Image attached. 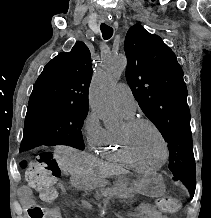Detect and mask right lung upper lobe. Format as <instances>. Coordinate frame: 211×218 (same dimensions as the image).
Wrapping results in <instances>:
<instances>
[{"instance_id": "obj_1", "label": "right lung upper lobe", "mask_w": 211, "mask_h": 218, "mask_svg": "<svg viewBox=\"0 0 211 218\" xmlns=\"http://www.w3.org/2000/svg\"><path fill=\"white\" fill-rule=\"evenodd\" d=\"M91 77L90 51L83 42H77L71 52L60 53L46 64L34 85L29 104L88 107Z\"/></svg>"}]
</instances>
